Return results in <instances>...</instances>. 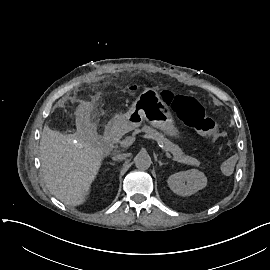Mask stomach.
I'll return each instance as SVG.
<instances>
[{
  "instance_id": "1",
  "label": "stomach",
  "mask_w": 270,
  "mask_h": 270,
  "mask_svg": "<svg viewBox=\"0 0 270 270\" xmlns=\"http://www.w3.org/2000/svg\"><path fill=\"white\" fill-rule=\"evenodd\" d=\"M120 120L121 128L126 130L139 127L143 121H146L169 138L183 140L173 112L152 87L145 88L138 95Z\"/></svg>"
}]
</instances>
